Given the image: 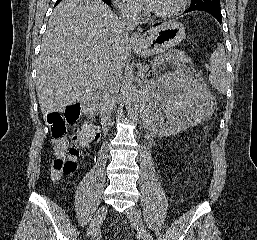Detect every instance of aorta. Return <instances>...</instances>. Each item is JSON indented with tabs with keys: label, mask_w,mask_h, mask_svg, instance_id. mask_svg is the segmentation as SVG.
<instances>
[{
	"label": "aorta",
	"mask_w": 257,
	"mask_h": 240,
	"mask_svg": "<svg viewBox=\"0 0 257 240\" xmlns=\"http://www.w3.org/2000/svg\"><path fill=\"white\" fill-rule=\"evenodd\" d=\"M124 97L126 112L132 117L138 109V91L132 74H129L124 81Z\"/></svg>",
	"instance_id": "obj_1"
}]
</instances>
